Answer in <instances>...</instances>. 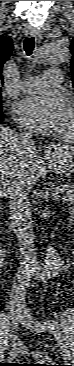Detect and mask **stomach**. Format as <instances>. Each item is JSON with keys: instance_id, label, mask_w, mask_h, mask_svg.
I'll use <instances>...</instances> for the list:
<instances>
[{"instance_id": "obj_1", "label": "stomach", "mask_w": 74, "mask_h": 366, "mask_svg": "<svg viewBox=\"0 0 74 366\" xmlns=\"http://www.w3.org/2000/svg\"><path fill=\"white\" fill-rule=\"evenodd\" d=\"M49 159L53 162L55 170L57 172H63L64 169L70 170L72 167V159L67 152H63L61 150L56 151L49 155ZM68 174V173H65Z\"/></svg>"}]
</instances>
